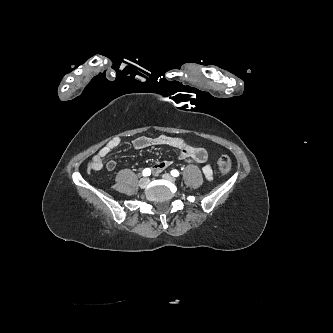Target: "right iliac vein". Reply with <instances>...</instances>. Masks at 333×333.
<instances>
[{
    "label": "right iliac vein",
    "mask_w": 333,
    "mask_h": 333,
    "mask_svg": "<svg viewBox=\"0 0 333 333\" xmlns=\"http://www.w3.org/2000/svg\"><path fill=\"white\" fill-rule=\"evenodd\" d=\"M149 179L148 178H142L140 181H139V186L141 188H145L148 184H149Z\"/></svg>",
    "instance_id": "63e3f726"
}]
</instances>
